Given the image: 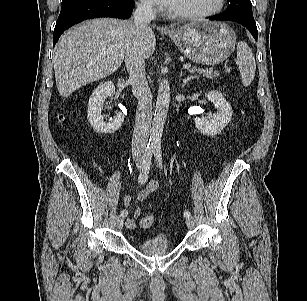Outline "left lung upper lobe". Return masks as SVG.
<instances>
[{"instance_id":"left-lung-upper-lobe-1","label":"left lung upper lobe","mask_w":307,"mask_h":301,"mask_svg":"<svg viewBox=\"0 0 307 301\" xmlns=\"http://www.w3.org/2000/svg\"><path fill=\"white\" fill-rule=\"evenodd\" d=\"M227 9L222 13L227 16H243L253 18L250 0H228Z\"/></svg>"}]
</instances>
